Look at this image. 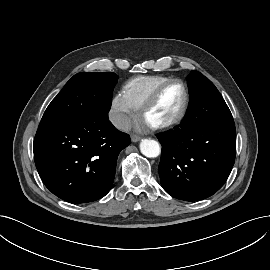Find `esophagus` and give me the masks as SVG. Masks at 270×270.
Returning a JSON list of instances; mask_svg holds the SVG:
<instances>
[{"label":"esophagus","instance_id":"esophagus-1","mask_svg":"<svg viewBox=\"0 0 270 270\" xmlns=\"http://www.w3.org/2000/svg\"><path fill=\"white\" fill-rule=\"evenodd\" d=\"M140 139H141V137L138 136V135H135V134H134V135L131 136L132 142H138Z\"/></svg>","mask_w":270,"mask_h":270}]
</instances>
